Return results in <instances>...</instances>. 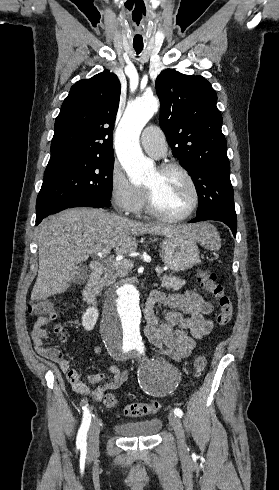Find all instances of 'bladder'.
Segmentation results:
<instances>
[{"instance_id":"bladder-1","label":"bladder","mask_w":279,"mask_h":490,"mask_svg":"<svg viewBox=\"0 0 279 490\" xmlns=\"http://www.w3.org/2000/svg\"><path fill=\"white\" fill-rule=\"evenodd\" d=\"M162 419L152 417L139 421H118L114 424V430L118 431L121 437H152L162 428Z\"/></svg>"}]
</instances>
